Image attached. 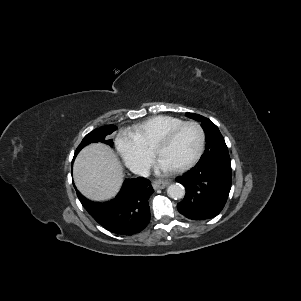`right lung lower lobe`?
<instances>
[{
	"label": "right lung lower lobe",
	"mask_w": 301,
	"mask_h": 301,
	"mask_svg": "<svg viewBox=\"0 0 301 301\" xmlns=\"http://www.w3.org/2000/svg\"><path fill=\"white\" fill-rule=\"evenodd\" d=\"M154 192L150 182L139 177L126 179L118 195L107 202H93L77 192L86 211L106 230L130 236L142 231L150 221L148 199Z\"/></svg>",
	"instance_id": "98d812e1"
}]
</instances>
